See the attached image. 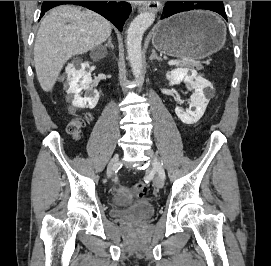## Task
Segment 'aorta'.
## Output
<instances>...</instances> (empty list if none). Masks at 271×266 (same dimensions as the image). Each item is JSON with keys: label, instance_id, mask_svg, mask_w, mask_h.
<instances>
[{"label": "aorta", "instance_id": "762f6f07", "mask_svg": "<svg viewBox=\"0 0 271 266\" xmlns=\"http://www.w3.org/2000/svg\"><path fill=\"white\" fill-rule=\"evenodd\" d=\"M155 14L144 12L131 22L127 31V54L132 73L137 80L142 74V39L145 31L153 24Z\"/></svg>", "mask_w": 271, "mask_h": 266}]
</instances>
